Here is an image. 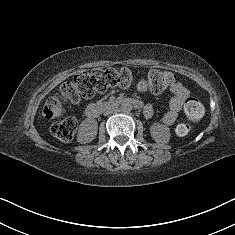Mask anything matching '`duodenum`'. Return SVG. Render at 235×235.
<instances>
[{
  "label": "duodenum",
  "instance_id": "1",
  "mask_svg": "<svg viewBox=\"0 0 235 235\" xmlns=\"http://www.w3.org/2000/svg\"><path fill=\"white\" fill-rule=\"evenodd\" d=\"M116 103L118 104H131L133 105L135 108H141L142 107V102L136 99H132L129 97H124V98H120L116 101ZM103 106L99 105V104H91L87 107L86 109V115L88 118H97L101 112H102Z\"/></svg>",
  "mask_w": 235,
  "mask_h": 235
}]
</instances>
